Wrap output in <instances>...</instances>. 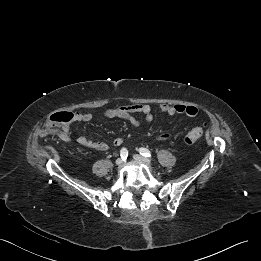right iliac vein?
I'll return each instance as SVG.
<instances>
[{
  "label": "right iliac vein",
  "mask_w": 261,
  "mask_h": 261,
  "mask_svg": "<svg viewBox=\"0 0 261 261\" xmlns=\"http://www.w3.org/2000/svg\"><path fill=\"white\" fill-rule=\"evenodd\" d=\"M122 164H123V159L122 158H118L116 160V165L121 166Z\"/></svg>",
  "instance_id": "1"
}]
</instances>
